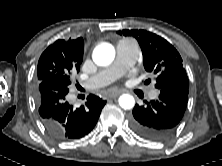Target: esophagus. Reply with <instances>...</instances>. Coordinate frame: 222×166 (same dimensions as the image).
<instances>
[{"label": "esophagus", "instance_id": "esophagus-1", "mask_svg": "<svg viewBox=\"0 0 222 166\" xmlns=\"http://www.w3.org/2000/svg\"><path fill=\"white\" fill-rule=\"evenodd\" d=\"M121 93H122V91H113L108 94V98H115V97L119 96Z\"/></svg>", "mask_w": 222, "mask_h": 166}]
</instances>
